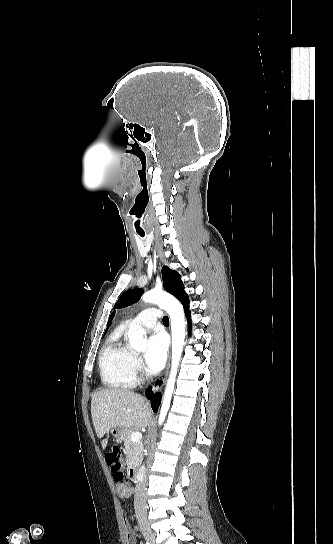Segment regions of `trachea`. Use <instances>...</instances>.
<instances>
[{
    "label": "trachea",
    "mask_w": 333,
    "mask_h": 544,
    "mask_svg": "<svg viewBox=\"0 0 333 544\" xmlns=\"http://www.w3.org/2000/svg\"><path fill=\"white\" fill-rule=\"evenodd\" d=\"M139 235H140L141 237H144V234H143V233H139ZM163 323H164V324H169V318H168L167 316H164V317H163Z\"/></svg>",
    "instance_id": "obj_1"
}]
</instances>
